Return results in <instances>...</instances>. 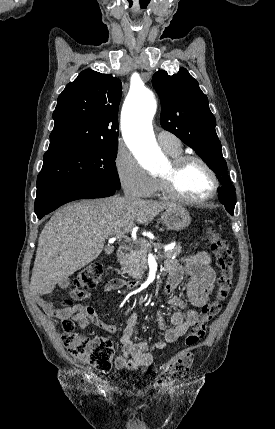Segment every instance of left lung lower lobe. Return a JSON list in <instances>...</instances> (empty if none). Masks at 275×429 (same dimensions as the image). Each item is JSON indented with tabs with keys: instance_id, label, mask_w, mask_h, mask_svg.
<instances>
[{
	"instance_id": "0a47b994",
	"label": "left lung lower lobe",
	"mask_w": 275,
	"mask_h": 429,
	"mask_svg": "<svg viewBox=\"0 0 275 429\" xmlns=\"http://www.w3.org/2000/svg\"><path fill=\"white\" fill-rule=\"evenodd\" d=\"M226 196V188L225 187H221L219 189V198H223Z\"/></svg>"
}]
</instances>
